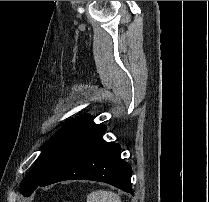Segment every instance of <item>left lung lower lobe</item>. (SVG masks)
<instances>
[{"mask_svg": "<svg viewBox=\"0 0 209 202\" xmlns=\"http://www.w3.org/2000/svg\"><path fill=\"white\" fill-rule=\"evenodd\" d=\"M104 125L87 118L61 147L49 173L39 186L64 180H93L113 185L134 195L130 164L121 159V148L107 143Z\"/></svg>", "mask_w": 209, "mask_h": 202, "instance_id": "obj_1", "label": "left lung lower lobe"}]
</instances>
